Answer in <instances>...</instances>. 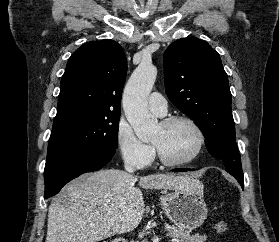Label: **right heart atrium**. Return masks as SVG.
<instances>
[{"label": "right heart atrium", "mask_w": 279, "mask_h": 242, "mask_svg": "<svg viewBox=\"0 0 279 242\" xmlns=\"http://www.w3.org/2000/svg\"><path fill=\"white\" fill-rule=\"evenodd\" d=\"M116 145L123 162L128 166L141 169L153 160L152 146L140 140L124 118L118 121L116 127Z\"/></svg>", "instance_id": "1"}]
</instances>
